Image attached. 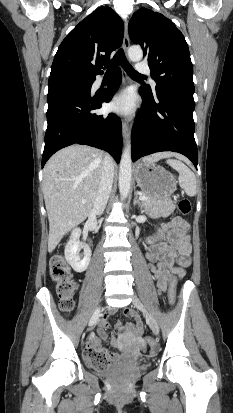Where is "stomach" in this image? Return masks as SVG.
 Wrapping results in <instances>:
<instances>
[{
	"label": "stomach",
	"instance_id": "0dacf381",
	"mask_svg": "<svg viewBox=\"0 0 233 413\" xmlns=\"http://www.w3.org/2000/svg\"><path fill=\"white\" fill-rule=\"evenodd\" d=\"M135 179L142 192L153 198H167L176 190L177 182L174 176L155 163H138L135 167Z\"/></svg>",
	"mask_w": 233,
	"mask_h": 413
}]
</instances>
